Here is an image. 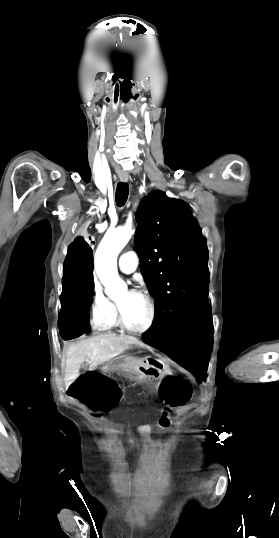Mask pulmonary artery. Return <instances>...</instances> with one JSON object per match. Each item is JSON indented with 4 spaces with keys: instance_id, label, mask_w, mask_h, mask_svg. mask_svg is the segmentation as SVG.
Wrapping results in <instances>:
<instances>
[{
    "instance_id": "1",
    "label": "pulmonary artery",
    "mask_w": 279,
    "mask_h": 538,
    "mask_svg": "<svg viewBox=\"0 0 279 538\" xmlns=\"http://www.w3.org/2000/svg\"><path fill=\"white\" fill-rule=\"evenodd\" d=\"M118 266L121 272L130 274L136 270V261L132 258L130 252H125L119 257Z\"/></svg>"
}]
</instances>
